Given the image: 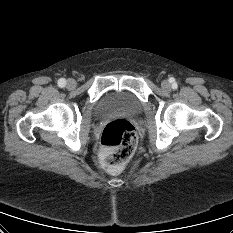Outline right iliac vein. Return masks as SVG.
<instances>
[{
    "label": "right iliac vein",
    "mask_w": 233,
    "mask_h": 233,
    "mask_svg": "<svg viewBox=\"0 0 233 233\" xmlns=\"http://www.w3.org/2000/svg\"><path fill=\"white\" fill-rule=\"evenodd\" d=\"M76 81L74 79H68L66 83V87L70 90L74 89L76 87Z\"/></svg>",
    "instance_id": "right-iliac-vein-1"
}]
</instances>
